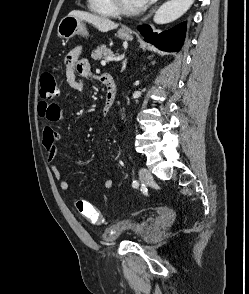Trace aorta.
Returning <instances> with one entry per match:
<instances>
[{"mask_svg": "<svg viewBox=\"0 0 249 294\" xmlns=\"http://www.w3.org/2000/svg\"><path fill=\"white\" fill-rule=\"evenodd\" d=\"M195 0H170L164 3L155 13L154 22L166 24L180 18L188 11Z\"/></svg>", "mask_w": 249, "mask_h": 294, "instance_id": "1", "label": "aorta"}]
</instances>
